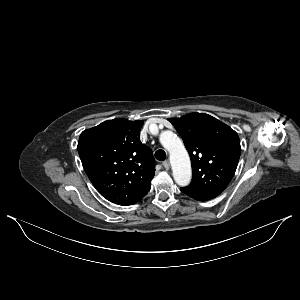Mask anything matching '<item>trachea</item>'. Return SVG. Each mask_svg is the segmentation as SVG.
Wrapping results in <instances>:
<instances>
[{
  "label": "trachea",
  "mask_w": 300,
  "mask_h": 300,
  "mask_svg": "<svg viewBox=\"0 0 300 300\" xmlns=\"http://www.w3.org/2000/svg\"><path fill=\"white\" fill-rule=\"evenodd\" d=\"M155 158L159 161H164L166 159V152L162 149H159L155 152Z\"/></svg>",
  "instance_id": "3493384b"
}]
</instances>
